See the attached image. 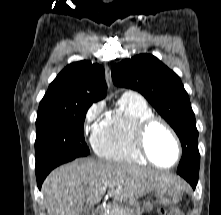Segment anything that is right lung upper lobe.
<instances>
[{
  "mask_svg": "<svg viewBox=\"0 0 221 215\" xmlns=\"http://www.w3.org/2000/svg\"><path fill=\"white\" fill-rule=\"evenodd\" d=\"M104 69L89 61L65 67L49 85L40 104L93 103L106 95Z\"/></svg>",
  "mask_w": 221,
  "mask_h": 215,
  "instance_id": "cb5924a9",
  "label": "right lung upper lobe"
}]
</instances>
